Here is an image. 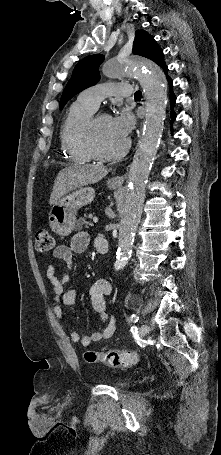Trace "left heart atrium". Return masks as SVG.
I'll use <instances>...</instances> for the list:
<instances>
[{
	"mask_svg": "<svg viewBox=\"0 0 221 455\" xmlns=\"http://www.w3.org/2000/svg\"><path fill=\"white\" fill-rule=\"evenodd\" d=\"M112 121L119 135L126 139L134 126V119L131 113L123 110L119 115L112 118Z\"/></svg>",
	"mask_w": 221,
	"mask_h": 455,
	"instance_id": "1",
	"label": "left heart atrium"
}]
</instances>
